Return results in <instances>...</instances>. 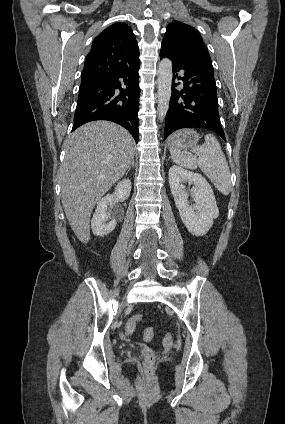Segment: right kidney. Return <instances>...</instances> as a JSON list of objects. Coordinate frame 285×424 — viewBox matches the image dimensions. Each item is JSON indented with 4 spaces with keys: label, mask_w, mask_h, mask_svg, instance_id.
<instances>
[{
    "label": "right kidney",
    "mask_w": 285,
    "mask_h": 424,
    "mask_svg": "<svg viewBox=\"0 0 285 424\" xmlns=\"http://www.w3.org/2000/svg\"><path fill=\"white\" fill-rule=\"evenodd\" d=\"M131 192V181L129 179H123L115 187L114 195H106L97 202V207L93 218L91 220V227L93 234L99 237H104L112 232L117 224L115 219H112L107 224L105 223L108 219L107 207L112 205L114 198H117L119 201H125Z\"/></svg>",
    "instance_id": "1"
}]
</instances>
